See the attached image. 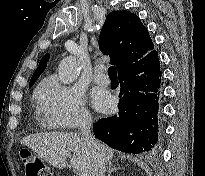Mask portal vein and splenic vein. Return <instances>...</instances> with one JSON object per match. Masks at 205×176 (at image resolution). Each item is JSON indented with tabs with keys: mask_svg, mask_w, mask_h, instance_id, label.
I'll return each mask as SVG.
<instances>
[{
	"mask_svg": "<svg viewBox=\"0 0 205 176\" xmlns=\"http://www.w3.org/2000/svg\"><path fill=\"white\" fill-rule=\"evenodd\" d=\"M81 176H89L88 173H82Z\"/></svg>",
	"mask_w": 205,
	"mask_h": 176,
	"instance_id": "portal-vein-and-splenic-vein-1",
	"label": "portal vein and splenic vein"
}]
</instances>
